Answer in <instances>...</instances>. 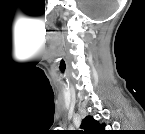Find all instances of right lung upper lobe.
<instances>
[{"label": "right lung upper lobe", "instance_id": "1", "mask_svg": "<svg viewBox=\"0 0 145 134\" xmlns=\"http://www.w3.org/2000/svg\"><path fill=\"white\" fill-rule=\"evenodd\" d=\"M104 127V123H99L91 116H87L81 124V128L84 130L83 134H106L107 131L104 130Z\"/></svg>", "mask_w": 145, "mask_h": 134}]
</instances>
